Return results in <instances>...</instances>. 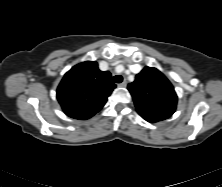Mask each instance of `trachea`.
Instances as JSON below:
<instances>
[{
  "mask_svg": "<svg viewBox=\"0 0 222 187\" xmlns=\"http://www.w3.org/2000/svg\"><path fill=\"white\" fill-rule=\"evenodd\" d=\"M113 81L115 83H121L123 81V77L121 75H116L114 76Z\"/></svg>",
  "mask_w": 222,
  "mask_h": 187,
  "instance_id": "obj_1",
  "label": "trachea"
}]
</instances>
